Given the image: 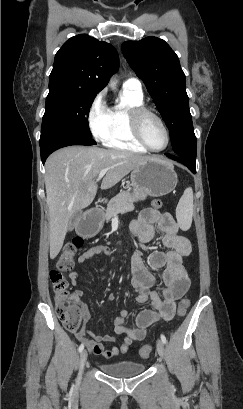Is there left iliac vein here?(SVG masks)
<instances>
[{"instance_id":"obj_1","label":"left iliac vein","mask_w":243,"mask_h":409,"mask_svg":"<svg viewBox=\"0 0 243 409\" xmlns=\"http://www.w3.org/2000/svg\"><path fill=\"white\" fill-rule=\"evenodd\" d=\"M157 352L161 358H164L165 355V347L164 343L161 340H157L156 344Z\"/></svg>"}]
</instances>
